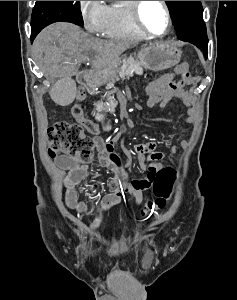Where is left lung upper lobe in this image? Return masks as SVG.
<instances>
[{
  "mask_svg": "<svg viewBox=\"0 0 237 300\" xmlns=\"http://www.w3.org/2000/svg\"><path fill=\"white\" fill-rule=\"evenodd\" d=\"M178 39L195 44L206 53L208 38L201 1H166Z\"/></svg>",
  "mask_w": 237,
  "mask_h": 300,
  "instance_id": "obj_1",
  "label": "left lung upper lobe"
}]
</instances>
